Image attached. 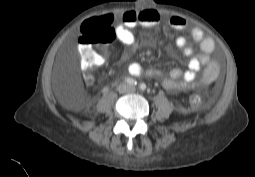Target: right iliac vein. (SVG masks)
<instances>
[{"label":"right iliac vein","mask_w":255,"mask_h":177,"mask_svg":"<svg viewBox=\"0 0 255 177\" xmlns=\"http://www.w3.org/2000/svg\"><path fill=\"white\" fill-rule=\"evenodd\" d=\"M119 90H120V91H125V90H126V86H124V85L120 86V87H119Z\"/></svg>","instance_id":"1"}]
</instances>
